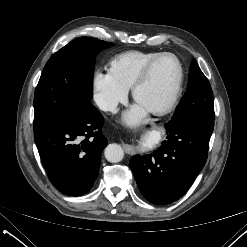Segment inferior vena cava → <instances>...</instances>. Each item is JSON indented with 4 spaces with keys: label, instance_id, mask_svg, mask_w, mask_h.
<instances>
[{
    "label": "inferior vena cava",
    "instance_id": "602c4592",
    "mask_svg": "<svg viewBox=\"0 0 247 247\" xmlns=\"http://www.w3.org/2000/svg\"><path fill=\"white\" fill-rule=\"evenodd\" d=\"M98 106L103 111L115 112L117 108V102L103 100L98 102Z\"/></svg>",
    "mask_w": 247,
    "mask_h": 247
}]
</instances>
